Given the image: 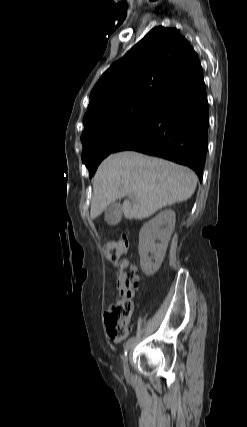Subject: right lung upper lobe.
<instances>
[{
    "instance_id": "right-lung-upper-lobe-1",
    "label": "right lung upper lobe",
    "mask_w": 247,
    "mask_h": 427,
    "mask_svg": "<svg viewBox=\"0 0 247 427\" xmlns=\"http://www.w3.org/2000/svg\"><path fill=\"white\" fill-rule=\"evenodd\" d=\"M201 75L199 58L180 31L156 27L101 76L90 94L84 128L129 107L158 106Z\"/></svg>"
}]
</instances>
